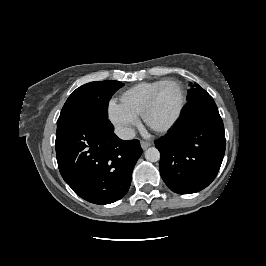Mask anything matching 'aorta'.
I'll use <instances>...</instances> for the list:
<instances>
[{
  "instance_id": "aorta-1",
  "label": "aorta",
  "mask_w": 266,
  "mask_h": 266,
  "mask_svg": "<svg viewBox=\"0 0 266 266\" xmlns=\"http://www.w3.org/2000/svg\"><path fill=\"white\" fill-rule=\"evenodd\" d=\"M145 159L149 162H157L160 159V153L157 148L150 147L145 151Z\"/></svg>"
}]
</instances>
